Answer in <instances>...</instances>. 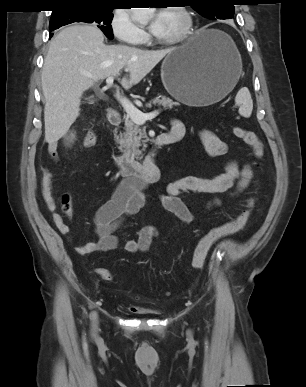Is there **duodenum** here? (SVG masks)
<instances>
[{
  "instance_id": "duodenum-1",
  "label": "duodenum",
  "mask_w": 306,
  "mask_h": 387,
  "mask_svg": "<svg viewBox=\"0 0 306 387\" xmlns=\"http://www.w3.org/2000/svg\"><path fill=\"white\" fill-rule=\"evenodd\" d=\"M109 123L117 127L121 123V115L111 109L108 112ZM181 139L180 134L161 133L155 138V150L151 151L144 161H138L130 156H117L114 164L121 175L134 182H156L161 176L160 168L156 163V149L174 143Z\"/></svg>"
}]
</instances>
